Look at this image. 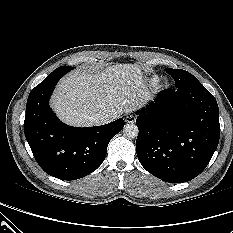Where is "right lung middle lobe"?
Instances as JSON below:
<instances>
[{"mask_svg":"<svg viewBox=\"0 0 233 233\" xmlns=\"http://www.w3.org/2000/svg\"><path fill=\"white\" fill-rule=\"evenodd\" d=\"M62 69H67L68 71H70L71 69H73V67H69V66H60L58 67L57 69H55L53 72H56V71H59V70H62ZM52 72V73H53Z\"/></svg>","mask_w":233,"mask_h":233,"instance_id":"1","label":"right lung middle lobe"}]
</instances>
